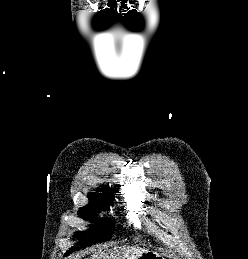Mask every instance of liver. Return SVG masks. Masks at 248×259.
Masks as SVG:
<instances>
[{
    "mask_svg": "<svg viewBox=\"0 0 248 259\" xmlns=\"http://www.w3.org/2000/svg\"><path fill=\"white\" fill-rule=\"evenodd\" d=\"M146 249L140 247H114L113 250H104L98 253L92 254L87 259H136L140 256Z\"/></svg>",
    "mask_w": 248,
    "mask_h": 259,
    "instance_id": "1",
    "label": "liver"
}]
</instances>
